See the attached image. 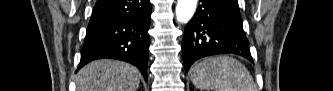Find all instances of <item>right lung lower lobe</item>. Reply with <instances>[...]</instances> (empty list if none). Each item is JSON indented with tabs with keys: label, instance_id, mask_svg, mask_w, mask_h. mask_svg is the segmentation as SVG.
<instances>
[{
	"label": "right lung lower lobe",
	"instance_id": "right-lung-lower-lobe-1",
	"mask_svg": "<svg viewBox=\"0 0 333 91\" xmlns=\"http://www.w3.org/2000/svg\"><path fill=\"white\" fill-rule=\"evenodd\" d=\"M150 19L149 0H98L77 70L92 60L112 58L137 66L147 80Z\"/></svg>",
	"mask_w": 333,
	"mask_h": 91
}]
</instances>
